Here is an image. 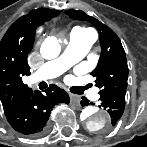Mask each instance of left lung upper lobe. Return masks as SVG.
Wrapping results in <instances>:
<instances>
[{
	"mask_svg": "<svg viewBox=\"0 0 147 147\" xmlns=\"http://www.w3.org/2000/svg\"><path fill=\"white\" fill-rule=\"evenodd\" d=\"M66 14L72 19L90 22L99 32L102 52L97 67L91 72L101 89L99 93L114 88L127 89L128 65L118 36L108 26L83 11L67 10Z\"/></svg>",
	"mask_w": 147,
	"mask_h": 147,
	"instance_id": "left-lung-upper-lobe-1",
	"label": "left lung upper lobe"
}]
</instances>
